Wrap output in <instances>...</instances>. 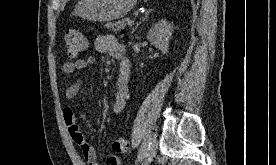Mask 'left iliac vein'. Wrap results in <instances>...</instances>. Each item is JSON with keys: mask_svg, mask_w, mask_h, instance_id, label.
<instances>
[{"mask_svg": "<svg viewBox=\"0 0 276 165\" xmlns=\"http://www.w3.org/2000/svg\"><path fill=\"white\" fill-rule=\"evenodd\" d=\"M149 148L144 155L141 165H148L156 155L157 150V138L156 134H150L148 137Z\"/></svg>", "mask_w": 276, "mask_h": 165, "instance_id": "1", "label": "left iliac vein"}]
</instances>
